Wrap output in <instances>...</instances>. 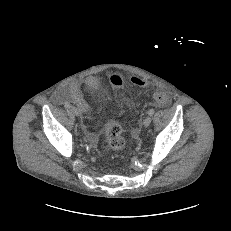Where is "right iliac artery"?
Listing matches in <instances>:
<instances>
[{
	"label": "right iliac artery",
	"mask_w": 231,
	"mask_h": 231,
	"mask_svg": "<svg viewBox=\"0 0 231 231\" xmlns=\"http://www.w3.org/2000/svg\"><path fill=\"white\" fill-rule=\"evenodd\" d=\"M65 108H70V104L69 103H65Z\"/></svg>",
	"instance_id": "right-iliac-artery-1"
}]
</instances>
